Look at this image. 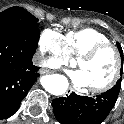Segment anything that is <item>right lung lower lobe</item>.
<instances>
[{
    "instance_id": "98d812e1",
    "label": "right lung lower lobe",
    "mask_w": 124,
    "mask_h": 124,
    "mask_svg": "<svg viewBox=\"0 0 124 124\" xmlns=\"http://www.w3.org/2000/svg\"><path fill=\"white\" fill-rule=\"evenodd\" d=\"M40 33H0V120L16 113L39 77L32 58Z\"/></svg>"
}]
</instances>
